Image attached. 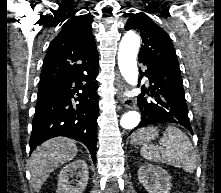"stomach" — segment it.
Returning <instances> with one entry per match:
<instances>
[{
  "instance_id": "obj_1",
  "label": "stomach",
  "mask_w": 221,
  "mask_h": 193,
  "mask_svg": "<svg viewBox=\"0 0 221 193\" xmlns=\"http://www.w3.org/2000/svg\"><path fill=\"white\" fill-rule=\"evenodd\" d=\"M158 137V130L156 127L143 128L135 132L131 136V143L135 145L146 144Z\"/></svg>"
}]
</instances>
